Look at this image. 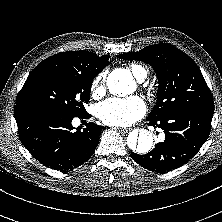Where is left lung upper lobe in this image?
Instances as JSON below:
<instances>
[{
    "mask_svg": "<svg viewBox=\"0 0 222 222\" xmlns=\"http://www.w3.org/2000/svg\"><path fill=\"white\" fill-rule=\"evenodd\" d=\"M153 66L158 77L157 101L147 117L159 120L186 108L214 110L213 97L197 64L168 43L147 46L138 52L117 55Z\"/></svg>",
    "mask_w": 222,
    "mask_h": 222,
    "instance_id": "5c2ea615",
    "label": "left lung upper lobe"
}]
</instances>
